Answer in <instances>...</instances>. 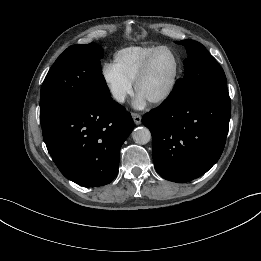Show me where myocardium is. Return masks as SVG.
<instances>
[{"instance_id":"myocardium-1","label":"myocardium","mask_w":261,"mask_h":261,"mask_svg":"<svg viewBox=\"0 0 261 261\" xmlns=\"http://www.w3.org/2000/svg\"><path fill=\"white\" fill-rule=\"evenodd\" d=\"M163 50L169 51L173 55V58H174V71H173L172 78H171L170 83L167 86V88L162 93H160L159 95H157V96H155L153 98L148 99V102L153 104V105H159V104H162L165 101H167L170 98V96L172 95V93L174 92V90H175V87H176V84H177V81H178L179 70H180V61H179V57L176 54V52L172 48H170L168 46H159V47H157L146 58V60L144 61L143 65H142L140 71L138 72V74H137V76L135 78V81H134V89L138 93L139 87H140L141 83L143 82V80L146 78L154 57L160 51H163Z\"/></svg>"}]
</instances>
